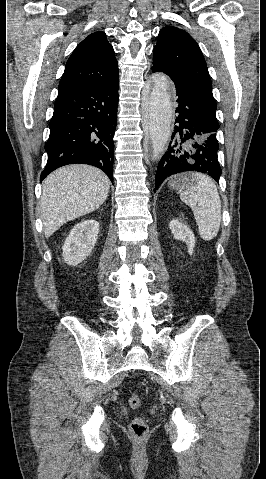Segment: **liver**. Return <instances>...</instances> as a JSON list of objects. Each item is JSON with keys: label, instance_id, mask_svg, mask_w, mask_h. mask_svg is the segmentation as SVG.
<instances>
[{"label": "liver", "instance_id": "obj_1", "mask_svg": "<svg viewBox=\"0 0 266 479\" xmlns=\"http://www.w3.org/2000/svg\"><path fill=\"white\" fill-rule=\"evenodd\" d=\"M109 187L105 173L89 165H70L48 175L40 200L45 237L66 222L97 210L105 202Z\"/></svg>", "mask_w": 266, "mask_h": 479}]
</instances>
